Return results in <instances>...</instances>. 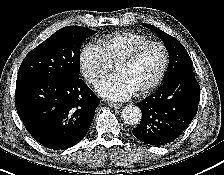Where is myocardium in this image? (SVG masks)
Masks as SVG:
<instances>
[{"label":"myocardium","instance_id":"obj_1","mask_svg":"<svg viewBox=\"0 0 224 175\" xmlns=\"http://www.w3.org/2000/svg\"><path fill=\"white\" fill-rule=\"evenodd\" d=\"M152 46L159 47L162 50V53H163L162 65H161V68H160L159 72L155 76V78L149 84H147L144 87L138 89L136 91L137 94H145V93H148V92L152 91L153 89H155L159 85V83L162 81L163 77L165 76V74L167 72V69H168V66H169V62H170V54H169V50L166 47V45L162 42H159V41H148V42L143 43V44L139 45L138 47H136L134 50H132L129 54H127L126 56L121 58L115 64V68L118 65L132 64L140 57V55L146 49H148L149 47H152Z\"/></svg>","mask_w":224,"mask_h":175}]
</instances>
